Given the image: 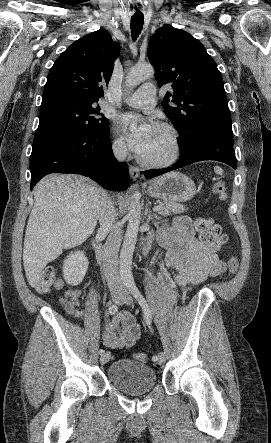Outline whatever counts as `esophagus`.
Masks as SVG:
<instances>
[{
	"instance_id": "1",
	"label": "esophagus",
	"mask_w": 271,
	"mask_h": 443,
	"mask_svg": "<svg viewBox=\"0 0 271 443\" xmlns=\"http://www.w3.org/2000/svg\"><path fill=\"white\" fill-rule=\"evenodd\" d=\"M129 172H130V176H131L132 180H137V178H139V176H140L139 168L135 167L133 165L129 166Z\"/></svg>"
}]
</instances>
